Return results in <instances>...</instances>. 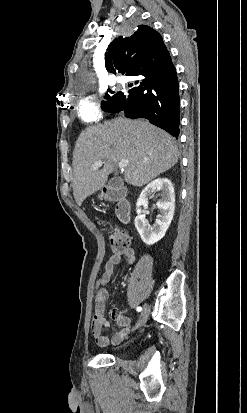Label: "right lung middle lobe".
<instances>
[{"instance_id":"1","label":"right lung middle lobe","mask_w":247,"mask_h":413,"mask_svg":"<svg viewBox=\"0 0 247 413\" xmlns=\"http://www.w3.org/2000/svg\"><path fill=\"white\" fill-rule=\"evenodd\" d=\"M108 91H109L111 94L114 93V92H112L110 89H108ZM114 96H115V95H109V94H106V95H105V98L107 99V101H103V102H102V109H103V110L106 111V110L108 109V107L110 106L111 101L113 100Z\"/></svg>"}]
</instances>
